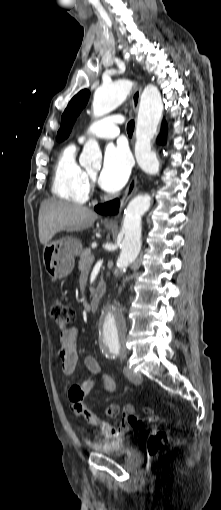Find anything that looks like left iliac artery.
I'll list each match as a JSON object with an SVG mask.
<instances>
[{
    "instance_id": "44dca946",
    "label": "left iliac artery",
    "mask_w": 221,
    "mask_h": 510,
    "mask_svg": "<svg viewBox=\"0 0 221 510\" xmlns=\"http://www.w3.org/2000/svg\"><path fill=\"white\" fill-rule=\"evenodd\" d=\"M114 354H118L119 353V348H116L114 351H113Z\"/></svg>"
}]
</instances>
